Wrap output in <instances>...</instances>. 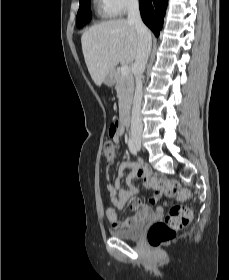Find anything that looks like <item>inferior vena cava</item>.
I'll list each match as a JSON object with an SVG mask.
<instances>
[{
    "label": "inferior vena cava",
    "instance_id": "inferior-vena-cava-1",
    "mask_svg": "<svg viewBox=\"0 0 229 280\" xmlns=\"http://www.w3.org/2000/svg\"><path fill=\"white\" fill-rule=\"evenodd\" d=\"M128 22L134 24L139 34V45L134 62L136 87L133 99L131 133L133 136H140L143 130L140 110L142 101V74L148 61L152 40L147 27L142 22L138 0H128L127 3Z\"/></svg>",
    "mask_w": 229,
    "mask_h": 280
}]
</instances>
